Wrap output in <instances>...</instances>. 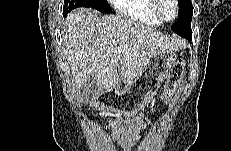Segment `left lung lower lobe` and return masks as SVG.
I'll use <instances>...</instances> for the list:
<instances>
[{"label":"left lung lower lobe","instance_id":"1","mask_svg":"<svg viewBox=\"0 0 231 151\" xmlns=\"http://www.w3.org/2000/svg\"><path fill=\"white\" fill-rule=\"evenodd\" d=\"M191 36H192V33L189 34L188 36L184 37V38H186V39H188V40H191Z\"/></svg>","mask_w":231,"mask_h":151}]
</instances>
